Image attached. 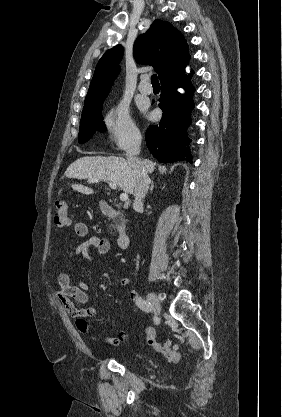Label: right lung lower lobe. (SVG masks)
<instances>
[{"instance_id":"obj_1","label":"right lung lower lobe","mask_w":282,"mask_h":417,"mask_svg":"<svg viewBox=\"0 0 282 417\" xmlns=\"http://www.w3.org/2000/svg\"><path fill=\"white\" fill-rule=\"evenodd\" d=\"M185 63L160 79L161 94L159 107L163 111L159 125L149 126L146 132V144L153 156L162 163L184 161L192 163L188 150L189 141L186 129L191 123L190 112L194 107L191 74L184 75ZM193 73V72H192ZM187 94L177 92L182 85Z\"/></svg>"}]
</instances>
